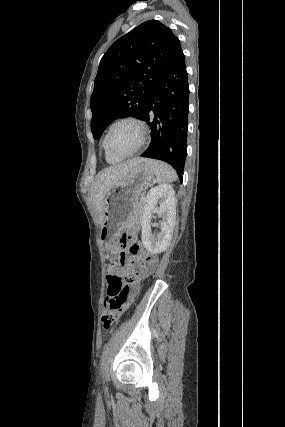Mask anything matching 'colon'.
Returning a JSON list of instances; mask_svg holds the SVG:
<instances>
[{
  "label": "colon",
  "mask_w": 285,
  "mask_h": 427,
  "mask_svg": "<svg viewBox=\"0 0 285 427\" xmlns=\"http://www.w3.org/2000/svg\"><path fill=\"white\" fill-rule=\"evenodd\" d=\"M132 238L133 233L127 231L120 238L113 241L110 245V259L114 261L119 258L120 250L127 247ZM129 252L138 261V265L132 269L126 262H121L123 272L128 275L127 281L121 273L111 272L107 276L110 294L103 302L104 313L101 318L102 325L107 331L113 328L118 318V311L124 302L134 296L139 282L152 271V259L143 255L142 249L137 243L130 245Z\"/></svg>",
  "instance_id": "1"
}]
</instances>
